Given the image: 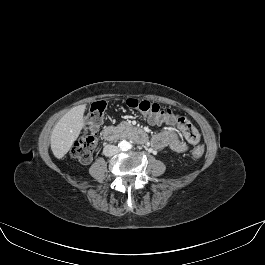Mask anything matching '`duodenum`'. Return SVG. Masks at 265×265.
Segmentation results:
<instances>
[{"mask_svg":"<svg viewBox=\"0 0 265 265\" xmlns=\"http://www.w3.org/2000/svg\"><path fill=\"white\" fill-rule=\"evenodd\" d=\"M102 137L106 142L125 138L133 139L141 144L148 142L146 132L140 127L126 129L125 127L108 126L103 129Z\"/></svg>","mask_w":265,"mask_h":265,"instance_id":"1","label":"duodenum"}]
</instances>
